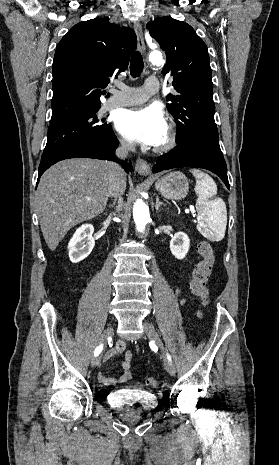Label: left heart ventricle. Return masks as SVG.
<instances>
[{"instance_id":"b2bd125f","label":"left heart ventricle","mask_w":279,"mask_h":465,"mask_svg":"<svg viewBox=\"0 0 279 465\" xmlns=\"http://www.w3.org/2000/svg\"><path fill=\"white\" fill-rule=\"evenodd\" d=\"M167 133H168V130H167L166 133L163 135L162 139L160 140V142H159L157 145L162 144V143L166 140Z\"/></svg>"}]
</instances>
